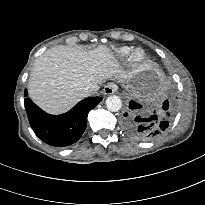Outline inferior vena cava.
Masks as SVG:
<instances>
[{
	"label": "inferior vena cava",
	"mask_w": 205,
	"mask_h": 205,
	"mask_svg": "<svg viewBox=\"0 0 205 205\" xmlns=\"http://www.w3.org/2000/svg\"><path fill=\"white\" fill-rule=\"evenodd\" d=\"M97 89H98V88H93V89H90V90H89V94H91V93L95 92Z\"/></svg>",
	"instance_id": "1"
}]
</instances>
